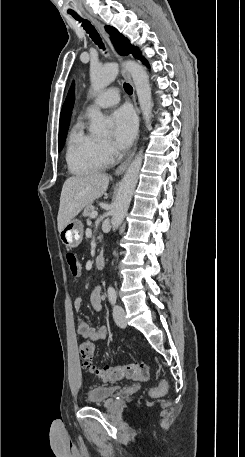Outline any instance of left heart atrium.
I'll return each mask as SVG.
<instances>
[{
	"instance_id": "obj_1",
	"label": "left heart atrium",
	"mask_w": 245,
	"mask_h": 457,
	"mask_svg": "<svg viewBox=\"0 0 245 457\" xmlns=\"http://www.w3.org/2000/svg\"><path fill=\"white\" fill-rule=\"evenodd\" d=\"M112 123L115 143L119 147H127L133 140L137 129V119L132 110L121 107L113 112Z\"/></svg>"
}]
</instances>
